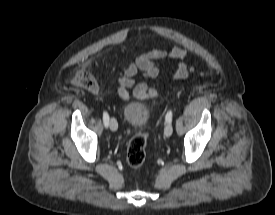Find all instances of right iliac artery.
Masks as SVG:
<instances>
[{
  "label": "right iliac artery",
  "mask_w": 275,
  "mask_h": 215,
  "mask_svg": "<svg viewBox=\"0 0 275 215\" xmlns=\"http://www.w3.org/2000/svg\"><path fill=\"white\" fill-rule=\"evenodd\" d=\"M103 122L105 127H108L109 125V115L106 111L103 112Z\"/></svg>",
  "instance_id": "1"
}]
</instances>
